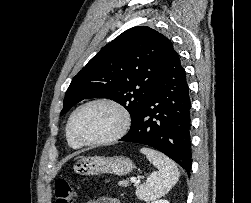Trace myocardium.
Instances as JSON below:
<instances>
[{"label": "myocardium", "mask_w": 251, "mask_h": 203, "mask_svg": "<svg viewBox=\"0 0 251 203\" xmlns=\"http://www.w3.org/2000/svg\"><path fill=\"white\" fill-rule=\"evenodd\" d=\"M106 105L118 112L120 115V124L118 128L109 136L101 138V139H95V140H88V139H83L79 137L76 132L74 131V119L76 115L84 108L92 106V105ZM131 125V115L128 111V109L122 105L121 103L110 99V98H96L89 100L80 106H78L71 114L69 121H68V131L71 135V137L79 144L81 145H106L110 144L112 142H115L122 138L129 130Z\"/></svg>", "instance_id": "f54148a6"}]
</instances>
